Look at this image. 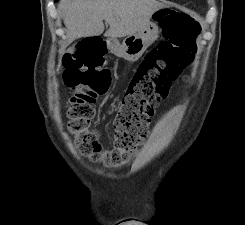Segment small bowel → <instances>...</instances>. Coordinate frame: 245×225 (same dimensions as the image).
<instances>
[{"label":"small bowel","instance_id":"c3829d8e","mask_svg":"<svg viewBox=\"0 0 245 225\" xmlns=\"http://www.w3.org/2000/svg\"><path fill=\"white\" fill-rule=\"evenodd\" d=\"M173 114H174L173 112L170 114V117H171V118L173 117Z\"/></svg>","mask_w":245,"mask_h":225}]
</instances>
